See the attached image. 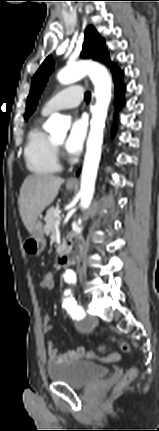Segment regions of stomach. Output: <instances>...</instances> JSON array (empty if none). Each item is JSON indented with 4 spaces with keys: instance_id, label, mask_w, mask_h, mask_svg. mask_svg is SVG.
<instances>
[{
    "instance_id": "obj_1",
    "label": "stomach",
    "mask_w": 159,
    "mask_h": 431,
    "mask_svg": "<svg viewBox=\"0 0 159 431\" xmlns=\"http://www.w3.org/2000/svg\"><path fill=\"white\" fill-rule=\"evenodd\" d=\"M68 189L73 190L74 186H67ZM46 246V240L44 238V227L43 223L37 219L31 236L24 242V250L31 255L40 254Z\"/></svg>"
}]
</instances>
